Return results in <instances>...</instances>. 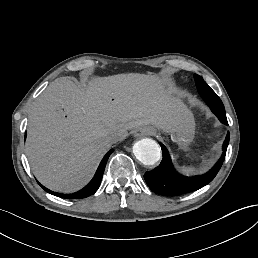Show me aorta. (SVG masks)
Segmentation results:
<instances>
[{
    "mask_svg": "<svg viewBox=\"0 0 258 258\" xmlns=\"http://www.w3.org/2000/svg\"><path fill=\"white\" fill-rule=\"evenodd\" d=\"M136 159L143 165H154L161 158V149L156 141L145 138L137 141L133 146Z\"/></svg>",
    "mask_w": 258,
    "mask_h": 258,
    "instance_id": "762f6f07",
    "label": "aorta"
}]
</instances>
